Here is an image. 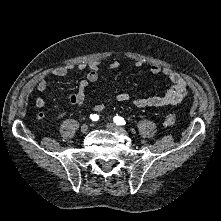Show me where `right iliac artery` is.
<instances>
[{
  "label": "right iliac artery",
  "mask_w": 221,
  "mask_h": 221,
  "mask_svg": "<svg viewBox=\"0 0 221 221\" xmlns=\"http://www.w3.org/2000/svg\"><path fill=\"white\" fill-rule=\"evenodd\" d=\"M90 118L93 120V121H97L99 119V116L97 114H91L90 115Z\"/></svg>",
  "instance_id": "1"
}]
</instances>
